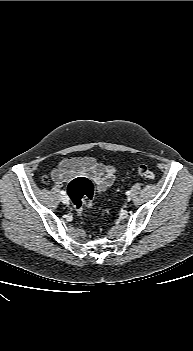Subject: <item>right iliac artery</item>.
<instances>
[{"label":"right iliac artery","mask_w":193,"mask_h":351,"mask_svg":"<svg viewBox=\"0 0 193 351\" xmlns=\"http://www.w3.org/2000/svg\"><path fill=\"white\" fill-rule=\"evenodd\" d=\"M61 194H62V195H65V194H66V192H65L64 190H62V191H61Z\"/></svg>","instance_id":"1"}]
</instances>
